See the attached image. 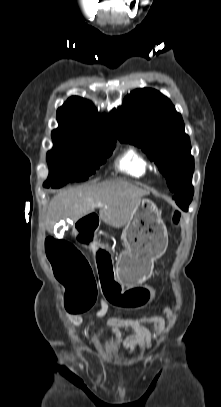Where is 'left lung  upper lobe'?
Here are the masks:
<instances>
[{"label": "left lung upper lobe", "mask_w": 221, "mask_h": 407, "mask_svg": "<svg viewBox=\"0 0 221 407\" xmlns=\"http://www.w3.org/2000/svg\"><path fill=\"white\" fill-rule=\"evenodd\" d=\"M118 138L141 147L158 165L176 195L194 191V158L181 115L159 91L137 89L118 108Z\"/></svg>", "instance_id": "obj_1"}]
</instances>
